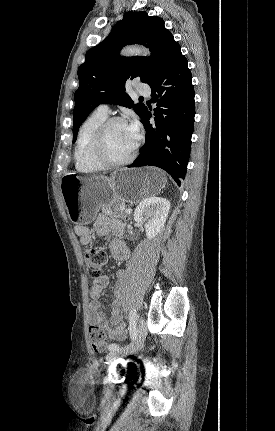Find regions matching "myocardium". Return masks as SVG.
Segmentation results:
<instances>
[{"label": "myocardium", "instance_id": "myocardium-1", "mask_svg": "<svg viewBox=\"0 0 275 431\" xmlns=\"http://www.w3.org/2000/svg\"><path fill=\"white\" fill-rule=\"evenodd\" d=\"M126 123L122 117L107 118L96 130L91 144V154L94 160L103 168H119L132 163L137 155L138 144H136L131 154L120 161L112 160L106 153V138L109 130L116 124Z\"/></svg>", "mask_w": 275, "mask_h": 431}]
</instances>
